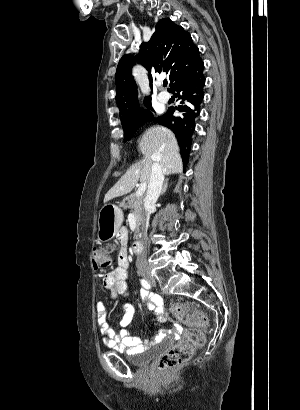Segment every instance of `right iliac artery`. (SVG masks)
I'll list each match as a JSON object with an SVG mask.
<instances>
[{"label": "right iliac artery", "mask_w": 300, "mask_h": 410, "mask_svg": "<svg viewBox=\"0 0 300 410\" xmlns=\"http://www.w3.org/2000/svg\"><path fill=\"white\" fill-rule=\"evenodd\" d=\"M141 285H142L145 289H150V288H151V285H150L145 279H142V280H141Z\"/></svg>", "instance_id": "1"}]
</instances>
